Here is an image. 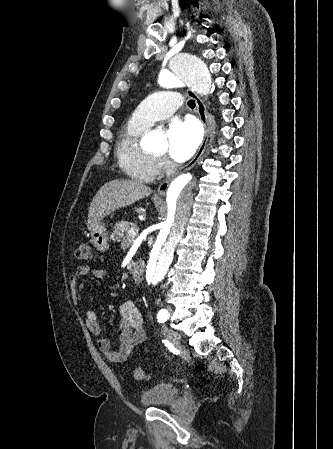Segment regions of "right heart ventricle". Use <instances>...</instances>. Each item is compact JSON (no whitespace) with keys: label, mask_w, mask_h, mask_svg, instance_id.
Wrapping results in <instances>:
<instances>
[{"label":"right heart ventricle","mask_w":333,"mask_h":449,"mask_svg":"<svg viewBox=\"0 0 333 449\" xmlns=\"http://www.w3.org/2000/svg\"><path fill=\"white\" fill-rule=\"evenodd\" d=\"M148 129V126L131 118L121 129L116 143L119 165L130 177L142 182L154 180L160 172L156 156L141 144Z\"/></svg>","instance_id":"right-heart-ventricle-1"}]
</instances>
